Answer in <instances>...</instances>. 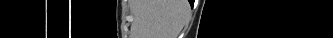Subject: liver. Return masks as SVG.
<instances>
[{
  "label": "liver",
  "instance_id": "1",
  "mask_svg": "<svg viewBox=\"0 0 333 38\" xmlns=\"http://www.w3.org/2000/svg\"><path fill=\"white\" fill-rule=\"evenodd\" d=\"M190 15L187 0H138L137 38H177Z\"/></svg>",
  "mask_w": 333,
  "mask_h": 38
}]
</instances>
